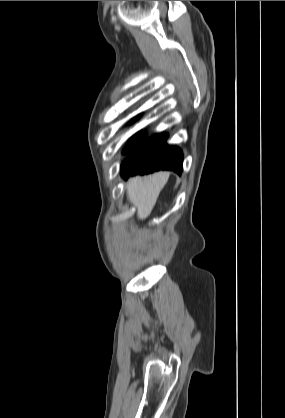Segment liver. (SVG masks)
<instances>
[{"label":"liver","instance_id":"liver-1","mask_svg":"<svg viewBox=\"0 0 285 418\" xmlns=\"http://www.w3.org/2000/svg\"><path fill=\"white\" fill-rule=\"evenodd\" d=\"M169 172H157L148 176H136L127 184V195L137 208V217L145 219L156 204L157 198L169 179Z\"/></svg>","mask_w":285,"mask_h":418}]
</instances>
